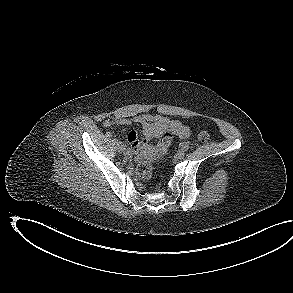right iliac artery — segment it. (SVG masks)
<instances>
[{
    "label": "right iliac artery",
    "instance_id": "82829eb1",
    "mask_svg": "<svg viewBox=\"0 0 293 293\" xmlns=\"http://www.w3.org/2000/svg\"><path fill=\"white\" fill-rule=\"evenodd\" d=\"M108 136L110 137L111 135H110V133L108 134ZM114 143H117L118 142V140L117 139H115V138H113V140H112Z\"/></svg>",
    "mask_w": 293,
    "mask_h": 293
}]
</instances>
